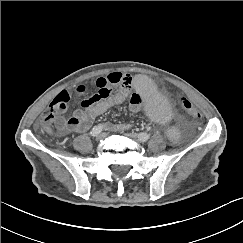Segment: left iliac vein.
<instances>
[{
	"instance_id": "4c4485c4",
	"label": "left iliac vein",
	"mask_w": 243,
	"mask_h": 243,
	"mask_svg": "<svg viewBox=\"0 0 243 243\" xmlns=\"http://www.w3.org/2000/svg\"><path fill=\"white\" fill-rule=\"evenodd\" d=\"M127 137H129V138H131V139H134V140H138V141H140L139 140V137H138V134H136V133H126L125 134Z\"/></svg>"
}]
</instances>
